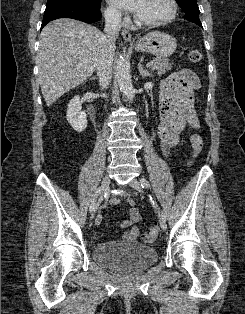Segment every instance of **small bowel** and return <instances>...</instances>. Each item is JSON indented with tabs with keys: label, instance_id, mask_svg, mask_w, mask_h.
I'll return each instance as SVG.
<instances>
[{
	"label": "small bowel",
	"instance_id": "1",
	"mask_svg": "<svg viewBox=\"0 0 245 314\" xmlns=\"http://www.w3.org/2000/svg\"><path fill=\"white\" fill-rule=\"evenodd\" d=\"M199 88V78L190 69H180L162 83L157 136L161 150L166 157L179 144L180 135L187 126L194 129L199 127L194 95ZM126 201L130 205L129 218L122 220L120 226L127 228L123 239L132 242L138 238L140 233L135 224L141 220V212L131 198H126Z\"/></svg>",
	"mask_w": 245,
	"mask_h": 314
}]
</instances>
